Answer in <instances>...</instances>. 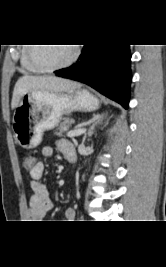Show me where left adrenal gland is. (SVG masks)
<instances>
[{"label":"left adrenal gland","mask_w":166,"mask_h":267,"mask_svg":"<svg viewBox=\"0 0 166 267\" xmlns=\"http://www.w3.org/2000/svg\"><path fill=\"white\" fill-rule=\"evenodd\" d=\"M92 120H93V124L90 126L87 135L84 137V140L87 138V136H88V137H91V136L94 134V132H95V127H96L97 125L102 124V122H103V120H104V115H96V116L93 117Z\"/></svg>","instance_id":"a2214340"}]
</instances>
